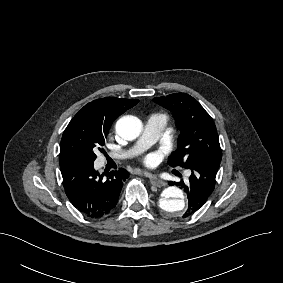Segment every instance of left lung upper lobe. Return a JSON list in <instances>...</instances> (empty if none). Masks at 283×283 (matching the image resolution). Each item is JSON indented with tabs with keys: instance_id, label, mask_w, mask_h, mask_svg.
<instances>
[{
	"instance_id": "5c2ea615",
	"label": "left lung upper lobe",
	"mask_w": 283,
	"mask_h": 283,
	"mask_svg": "<svg viewBox=\"0 0 283 283\" xmlns=\"http://www.w3.org/2000/svg\"><path fill=\"white\" fill-rule=\"evenodd\" d=\"M173 112L180 131L178 148L168 158L172 167L189 169L203 160L221 161V148L215 124L205 109L186 93L154 98Z\"/></svg>"
}]
</instances>
